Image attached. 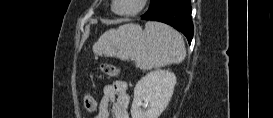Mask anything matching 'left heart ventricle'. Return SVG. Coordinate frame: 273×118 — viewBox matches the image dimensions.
I'll return each instance as SVG.
<instances>
[{"mask_svg": "<svg viewBox=\"0 0 273 118\" xmlns=\"http://www.w3.org/2000/svg\"><path fill=\"white\" fill-rule=\"evenodd\" d=\"M138 0H118L117 10L119 11H130L136 8Z\"/></svg>", "mask_w": 273, "mask_h": 118, "instance_id": "obj_1", "label": "left heart ventricle"}]
</instances>
